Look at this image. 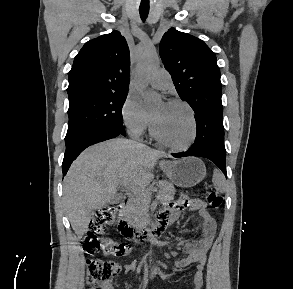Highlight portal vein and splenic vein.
Masks as SVG:
<instances>
[{"mask_svg":"<svg viewBox=\"0 0 293 289\" xmlns=\"http://www.w3.org/2000/svg\"><path fill=\"white\" fill-rule=\"evenodd\" d=\"M129 190H131L132 192H134V194H137V193H143L144 191L139 189V188H134L133 186H126Z\"/></svg>","mask_w":293,"mask_h":289,"instance_id":"portal-vein-and-splenic-vein-1","label":"portal vein and splenic vein"}]
</instances>
